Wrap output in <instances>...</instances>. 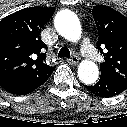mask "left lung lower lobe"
<instances>
[{"instance_id":"obj_1","label":"left lung lower lobe","mask_w":127,"mask_h":127,"mask_svg":"<svg viewBox=\"0 0 127 127\" xmlns=\"http://www.w3.org/2000/svg\"><path fill=\"white\" fill-rule=\"evenodd\" d=\"M93 94L100 97H111L120 94L127 89V84L101 74L100 80L93 86H86Z\"/></svg>"}]
</instances>
